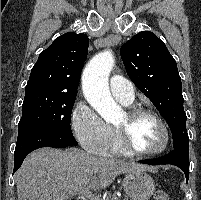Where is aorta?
Segmentation results:
<instances>
[{
  "mask_svg": "<svg viewBox=\"0 0 201 200\" xmlns=\"http://www.w3.org/2000/svg\"><path fill=\"white\" fill-rule=\"evenodd\" d=\"M114 63L112 51L104 50L90 60L82 75L86 100L107 123H113L121 114V109L112 98L108 87V77Z\"/></svg>",
  "mask_w": 201,
  "mask_h": 200,
  "instance_id": "762f6f07",
  "label": "aorta"
}]
</instances>
